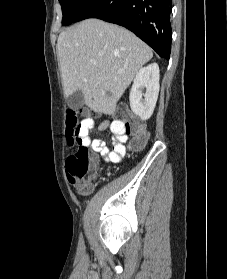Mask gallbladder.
I'll return each instance as SVG.
<instances>
[{
  "label": "gallbladder",
  "mask_w": 227,
  "mask_h": 279,
  "mask_svg": "<svg viewBox=\"0 0 227 279\" xmlns=\"http://www.w3.org/2000/svg\"><path fill=\"white\" fill-rule=\"evenodd\" d=\"M68 106L71 109L78 110L84 104V96L81 91H76L67 99Z\"/></svg>",
  "instance_id": "obj_1"
}]
</instances>
